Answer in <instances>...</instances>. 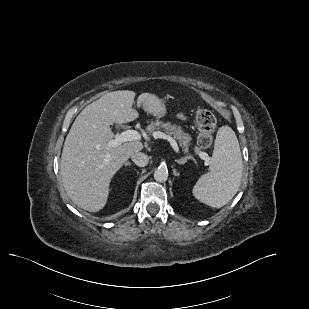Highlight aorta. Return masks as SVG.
I'll use <instances>...</instances> for the list:
<instances>
[{
	"label": "aorta",
	"instance_id": "obj_1",
	"mask_svg": "<svg viewBox=\"0 0 309 309\" xmlns=\"http://www.w3.org/2000/svg\"><path fill=\"white\" fill-rule=\"evenodd\" d=\"M154 179L158 182H165L168 179L167 168L160 166L154 172Z\"/></svg>",
	"mask_w": 309,
	"mask_h": 309
}]
</instances>
